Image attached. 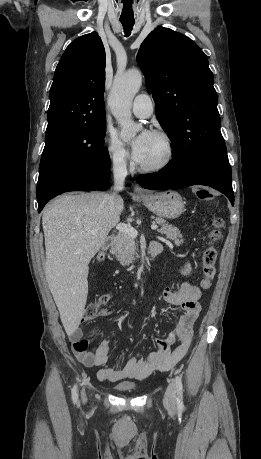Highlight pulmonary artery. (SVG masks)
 Instances as JSON below:
<instances>
[{
    "instance_id": "e3ab8cb5",
    "label": "pulmonary artery",
    "mask_w": 261,
    "mask_h": 459,
    "mask_svg": "<svg viewBox=\"0 0 261 459\" xmlns=\"http://www.w3.org/2000/svg\"><path fill=\"white\" fill-rule=\"evenodd\" d=\"M153 109V101L147 94L137 95L132 103V112L140 118L150 117Z\"/></svg>"
}]
</instances>
